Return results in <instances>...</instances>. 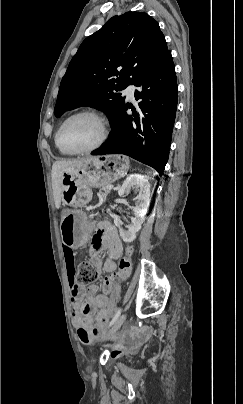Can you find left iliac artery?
<instances>
[{"label": "left iliac artery", "instance_id": "obj_1", "mask_svg": "<svg viewBox=\"0 0 243 404\" xmlns=\"http://www.w3.org/2000/svg\"><path fill=\"white\" fill-rule=\"evenodd\" d=\"M120 314H121V308H119V309L117 310V312L115 313L113 319L111 320V322H110V324H109V327L112 326V325L117 321V319L119 318Z\"/></svg>", "mask_w": 243, "mask_h": 404}]
</instances>
